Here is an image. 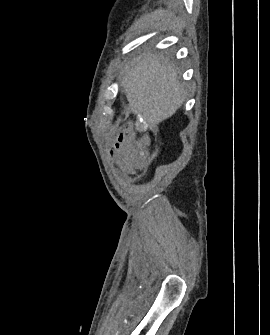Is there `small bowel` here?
<instances>
[{
	"instance_id": "small-bowel-1",
	"label": "small bowel",
	"mask_w": 270,
	"mask_h": 335,
	"mask_svg": "<svg viewBox=\"0 0 270 335\" xmlns=\"http://www.w3.org/2000/svg\"><path fill=\"white\" fill-rule=\"evenodd\" d=\"M139 122L133 121L132 127L128 128L129 134H138L139 133ZM121 149L119 144H111L110 149L112 154H105L104 160L105 161H112L113 165H132V166H125L124 171H120L119 176L120 178H133L134 173L133 169H140L141 165L146 164L145 158H117V156H125L126 151L131 150L132 144H141L142 143V136L141 135H134L133 139L129 138L128 135H121ZM136 152H143L144 146L143 145H136L135 146ZM146 156H153L154 150L153 149H146L145 150Z\"/></svg>"
}]
</instances>
